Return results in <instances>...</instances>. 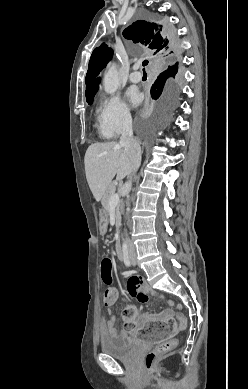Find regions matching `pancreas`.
<instances>
[{"label": "pancreas", "mask_w": 248, "mask_h": 389, "mask_svg": "<svg viewBox=\"0 0 248 389\" xmlns=\"http://www.w3.org/2000/svg\"><path fill=\"white\" fill-rule=\"evenodd\" d=\"M115 190H116V186L114 184H110L106 190V193L103 196L102 206H103V213L105 216L107 215V211L109 209V200L114 195ZM116 212H117V214L119 213L118 206H117Z\"/></svg>", "instance_id": "1"}]
</instances>
